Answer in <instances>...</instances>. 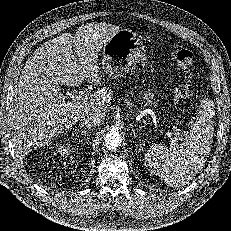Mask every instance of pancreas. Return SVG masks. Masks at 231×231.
Returning a JSON list of instances; mask_svg holds the SVG:
<instances>
[{
    "mask_svg": "<svg viewBox=\"0 0 231 231\" xmlns=\"http://www.w3.org/2000/svg\"><path fill=\"white\" fill-rule=\"evenodd\" d=\"M144 99H148V94H145ZM121 100H122V99H121ZM124 102L126 103V106L129 107V108L133 106V104L131 103V101H129V100H127V99H124ZM148 103L153 104L151 101H148Z\"/></svg>",
    "mask_w": 231,
    "mask_h": 231,
    "instance_id": "obj_1",
    "label": "pancreas"
}]
</instances>
